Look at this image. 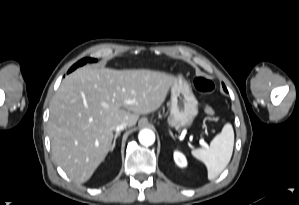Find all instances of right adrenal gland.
<instances>
[{
    "label": "right adrenal gland",
    "mask_w": 299,
    "mask_h": 205,
    "mask_svg": "<svg viewBox=\"0 0 299 205\" xmlns=\"http://www.w3.org/2000/svg\"><path fill=\"white\" fill-rule=\"evenodd\" d=\"M120 135V132H117L114 136V140H113V144L111 146V151H113V149L115 148V144H116V139L118 138V136Z\"/></svg>",
    "instance_id": "2a0ac1e0"
}]
</instances>
